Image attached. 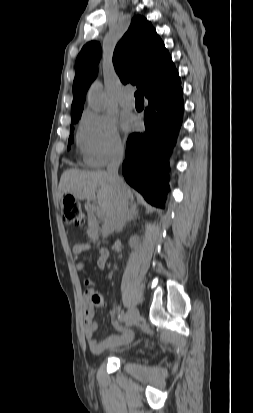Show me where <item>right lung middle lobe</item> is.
Instances as JSON below:
<instances>
[{
  "instance_id": "1",
  "label": "right lung middle lobe",
  "mask_w": 253,
  "mask_h": 413,
  "mask_svg": "<svg viewBox=\"0 0 253 413\" xmlns=\"http://www.w3.org/2000/svg\"><path fill=\"white\" fill-rule=\"evenodd\" d=\"M79 119H80V117H78V118H76V119H73V120H72V123H77ZM70 129H71V133H72V132L74 131L73 126H71ZM73 140H74V137H73V135H71V136L69 137V146H68V149L70 148V143H72Z\"/></svg>"
}]
</instances>
